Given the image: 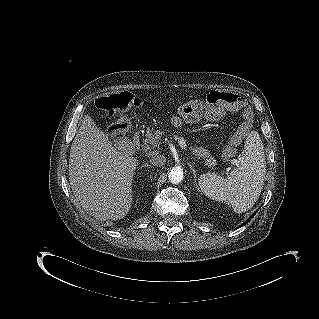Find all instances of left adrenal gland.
<instances>
[{
  "mask_svg": "<svg viewBox=\"0 0 319 319\" xmlns=\"http://www.w3.org/2000/svg\"><path fill=\"white\" fill-rule=\"evenodd\" d=\"M188 165H189V167H190L191 171L193 172L194 177H196V170L194 169L193 165H192V164H190V163H189Z\"/></svg>",
  "mask_w": 319,
  "mask_h": 319,
  "instance_id": "left-adrenal-gland-1",
  "label": "left adrenal gland"
}]
</instances>
